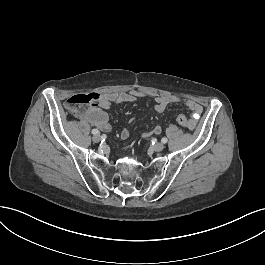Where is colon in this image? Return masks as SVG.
<instances>
[{"label":"colon","mask_w":265,"mask_h":265,"mask_svg":"<svg viewBox=\"0 0 265 265\" xmlns=\"http://www.w3.org/2000/svg\"><path fill=\"white\" fill-rule=\"evenodd\" d=\"M83 99H84L85 103L92 105V104L96 103L98 96H97L96 92L89 90V91L85 92ZM62 104H63L64 108H66L68 110L76 111V110L80 109L82 102H81L80 98H78L76 96L68 95V96L64 97ZM177 120H178V123L184 128H190L192 126V121L185 115H179Z\"/></svg>","instance_id":"colon-1"}]
</instances>
